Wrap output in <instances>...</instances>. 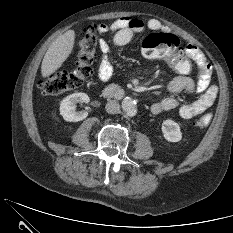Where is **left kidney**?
Segmentation results:
<instances>
[{
    "label": "left kidney",
    "mask_w": 233,
    "mask_h": 233,
    "mask_svg": "<svg viewBox=\"0 0 233 233\" xmlns=\"http://www.w3.org/2000/svg\"><path fill=\"white\" fill-rule=\"evenodd\" d=\"M161 129L164 138L169 142H178L182 139L179 124L171 119L164 120Z\"/></svg>",
    "instance_id": "5707ae66"
}]
</instances>
